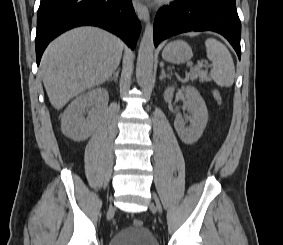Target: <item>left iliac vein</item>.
Here are the masks:
<instances>
[{
	"mask_svg": "<svg viewBox=\"0 0 283 245\" xmlns=\"http://www.w3.org/2000/svg\"><path fill=\"white\" fill-rule=\"evenodd\" d=\"M153 197H154V200H155L157 210L159 211V213H162V206H161V203H160L158 197L155 194L153 195Z\"/></svg>",
	"mask_w": 283,
	"mask_h": 245,
	"instance_id": "left-iliac-vein-1",
	"label": "left iliac vein"
}]
</instances>
